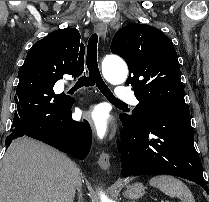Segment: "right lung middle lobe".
<instances>
[{
	"instance_id": "dd1d6c3e",
	"label": "right lung middle lobe",
	"mask_w": 209,
	"mask_h": 202,
	"mask_svg": "<svg viewBox=\"0 0 209 202\" xmlns=\"http://www.w3.org/2000/svg\"><path fill=\"white\" fill-rule=\"evenodd\" d=\"M35 79L38 82H40L41 84L45 85L48 89L52 90V93H54L53 86L56 82L55 80H53L52 78L46 77V76H37V77H35ZM60 95H62V94H60Z\"/></svg>"
}]
</instances>
